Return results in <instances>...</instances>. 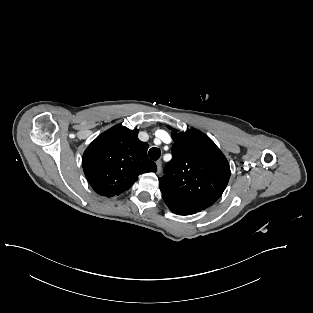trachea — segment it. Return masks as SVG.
Returning <instances> with one entry per match:
<instances>
[{
  "mask_svg": "<svg viewBox=\"0 0 313 313\" xmlns=\"http://www.w3.org/2000/svg\"><path fill=\"white\" fill-rule=\"evenodd\" d=\"M149 158L156 161L159 159L160 155H161V151L159 148L156 147H152L149 152H148Z\"/></svg>",
  "mask_w": 313,
  "mask_h": 313,
  "instance_id": "obj_1",
  "label": "trachea"
}]
</instances>
